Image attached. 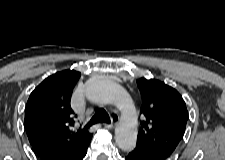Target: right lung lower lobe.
<instances>
[{
    "mask_svg": "<svg viewBox=\"0 0 225 160\" xmlns=\"http://www.w3.org/2000/svg\"><path fill=\"white\" fill-rule=\"evenodd\" d=\"M87 148L83 152H81L77 157L73 158L72 160H82L87 153ZM43 160H46V159H43ZM47 160H52V159H47Z\"/></svg>",
    "mask_w": 225,
    "mask_h": 160,
    "instance_id": "obj_1",
    "label": "right lung lower lobe"
}]
</instances>
